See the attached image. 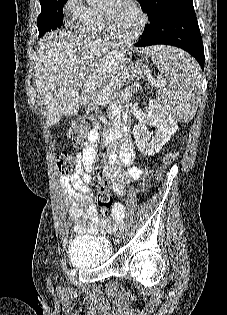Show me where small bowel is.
Instances as JSON below:
<instances>
[{"label":"small bowel","instance_id":"1","mask_svg":"<svg viewBox=\"0 0 227 315\" xmlns=\"http://www.w3.org/2000/svg\"><path fill=\"white\" fill-rule=\"evenodd\" d=\"M98 135L96 131H90L85 146L76 157L74 171L68 175L59 177V187L62 192V207L67 211L72 220L73 230L76 234L97 235L112 232L118 224L125 222L124 206L114 204L109 218H101L97 208L93 204V190L91 183V172L96 159V142ZM134 154L128 144H124L118 152L115 146L109 150L108 165L102 170V184L111 185L115 194L125 196L126 189L124 180H136L140 182V188L146 187L144 177L147 175L146 168L131 166ZM121 166L128 167L125 171Z\"/></svg>","mask_w":227,"mask_h":315}]
</instances>
